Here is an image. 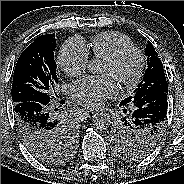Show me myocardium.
<instances>
[{
  "label": "myocardium",
  "instance_id": "f54148a6",
  "mask_svg": "<svg viewBox=\"0 0 184 184\" xmlns=\"http://www.w3.org/2000/svg\"><path fill=\"white\" fill-rule=\"evenodd\" d=\"M129 56H134L136 58L135 69L128 76L119 75L117 80L122 86L127 87V88H132L140 80L143 74L144 67H145V55L140 49L134 46L127 47V48L119 50L113 56L104 59V61L108 63L109 65H111L113 68L117 69L121 67L123 62Z\"/></svg>",
  "mask_w": 184,
  "mask_h": 184
}]
</instances>
